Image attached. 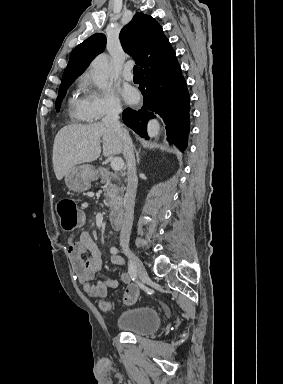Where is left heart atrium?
<instances>
[{
	"label": "left heart atrium",
	"mask_w": 283,
	"mask_h": 384,
	"mask_svg": "<svg viewBox=\"0 0 283 384\" xmlns=\"http://www.w3.org/2000/svg\"><path fill=\"white\" fill-rule=\"evenodd\" d=\"M121 94L124 101L129 105L135 104L139 99L137 91L131 87L122 88Z\"/></svg>",
	"instance_id": "1"
}]
</instances>
